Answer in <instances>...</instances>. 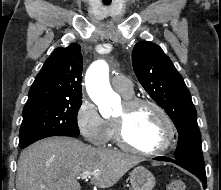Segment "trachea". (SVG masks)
I'll return each instance as SVG.
<instances>
[{
  "label": "trachea",
  "mask_w": 221,
  "mask_h": 190,
  "mask_svg": "<svg viewBox=\"0 0 221 190\" xmlns=\"http://www.w3.org/2000/svg\"><path fill=\"white\" fill-rule=\"evenodd\" d=\"M110 3H111V0L110 1H104L105 5H109Z\"/></svg>",
  "instance_id": "obj_1"
}]
</instances>
